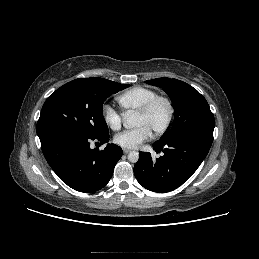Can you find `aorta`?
Listing matches in <instances>:
<instances>
[{
  "instance_id": "762f6f07",
  "label": "aorta",
  "mask_w": 259,
  "mask_h": 259,
  "mask_svg": "<svg viewBox=\"0 0 259 259\" xmlns=\"http://www.w3.org/2000/svg\"><path fill=\"white\" fill-rule=\"evenodd\" d=\"M125 128H133L137 125L136 116L134 114H128L123 123ZM139 159V153L137 151H131L128 154V160L132 163H136Z\"/></svg>"
}]
</instances>
